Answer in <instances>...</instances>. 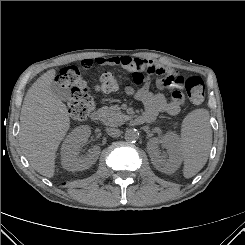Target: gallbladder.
Masks as SVG:
<instances>
[{"instance_id":"1","label":"gallbladder","mask_w":245,"mask_h":245,"mask_svg":"<svg viewBox=\"0 0 245 245\" xmlns=\"http://www.w3.org/2000/svg\"><path fill=\"white\" fill-rule=\"evenodd\" d=\"M51 90L54 95L63 101H67L71 98V90L66 86H62L58 82H54L51 85Z\"/></svg>"}]
</instances>
